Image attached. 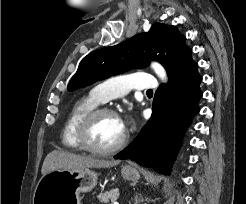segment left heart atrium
Returning <instances> with one entry per match:
<instances>
[{"instance_id":"obj_1","label":"left heart atrium","mask_w":246,"mask_h":204,"mask_svg":"<svg viewBox=\"0 0 246 204\" xmlns=\"http://www.w3.org/2000/svg\"><path fill=\"white\" fill-rule=\"evenodd\" d=\"M119 121L122 125V127L125 129L127 125L131 122L130 118L128 116H125L123 118H119Z\"/></svg>"}]
</instances>
